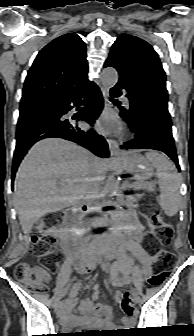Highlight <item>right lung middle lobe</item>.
Instances as JSON below:
<instances>
[{
  "label": "right lung middle lobe",
  "instance_id": "dd1d6c3e",
  "mask_svg": "<svg viewBox=\"0 0 194 336\" xmlns=\"http://www.w3.org/2000/svg\"><path fill=\"white\" fill-rule=\"evenodd\" d=\"M30 110L32 109H28V108L20 109V113L25 112V111H30Z\"/></svg>",
  "mask_w": 194,
  "mask_h": 336
}]
</instances>
